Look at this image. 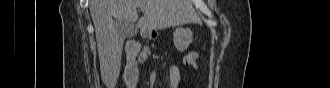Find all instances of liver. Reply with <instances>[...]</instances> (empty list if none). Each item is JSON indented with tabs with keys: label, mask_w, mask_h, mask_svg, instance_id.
Here are the masks:
<instances>
[{
	"label": "liver",
	"mask_w": 330,
	"mask_h": 88,
	"mask_svg": "<svg viewBox=\"0 0 330 88\" xmlns=\"http://www.w3.org/2000/svg\"><path fill=\"white\" fill-rule=\"evenodd\" d=\"M137 8L143 12L139 20ZM90 14L95 27L101 77L107 88H115L121 68L124 37L116 27V20L138 21L136 29L140 28L144 36L152 30L199 21L189 0H91Z\"/></svg>",
	"instance_id": "liver-1"
}]
</instances>
